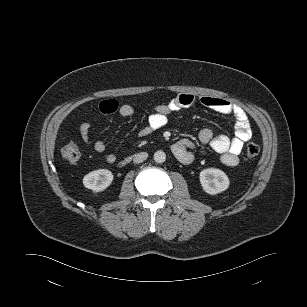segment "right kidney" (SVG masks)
I'll use <instances>...</instances> for the list:
<instances>
[{
	"instance_id": "1",
	"label": "right kidney",
	"mask_w": 307,
	"mask_h": 307,
	"mask_svg": "<svg viewBox=\"0 0 307 307\" xmlns=\"http://www.w3.org/2000/svg\"><path fill=\"white\" fill-rule=\"evenodd\" d=\"M113 181V174L107 169L94 170L83 178V184L93 192L105 190Z\"/></svg>"
}]
</instances>
